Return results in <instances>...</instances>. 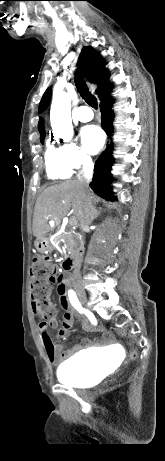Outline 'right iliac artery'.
Listing matches in <instances>:
<instances>
[{
  "label": "right iliac artery",
  "mask_w": 165,
  "mask_h": 461,
  "mask_svg": "<svg viewBox=\"0 0 165 461\" xmlns=\"http://www.w3.org/2000/svg\"><path fill=\"white\" fill-rule=\"evenodd\" d=\"M68 295H69V299H70V302L72 303V305L80 312H84L85 309L81 307V304L79 303L78 301V298L76 296V293L73 291V290H70L68 292Z\"/></svg>",
  "instance_id": "1"
}]
</instances>
